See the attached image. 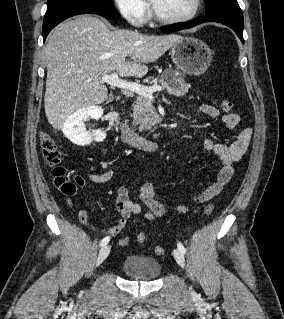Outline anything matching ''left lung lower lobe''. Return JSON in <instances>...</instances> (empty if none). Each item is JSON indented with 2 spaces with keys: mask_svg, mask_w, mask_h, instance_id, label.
<instances>
[{
  "mask_svg": "<svg viewBox=\"0 0 284 319\" xmlns=\"http://www.w3.org/2000/svg\"><path fill=\"white\" fill-rule=\"evenodd\" d=\"M204 22H218L221 24H224L228 27H230L239 37L241 42L244 44L243 39V14H236V13H216L211 15H205L202 17H198L194 19L191 22L178 24V25H172V26H166L161 28V31L163 32H175L187 28H192L198 24L204 23Z\"/></svg>",
  "mask_w": 284,
  "mask_h": 319,
  "instance_id": "obj_1",
  "label": "left lung lower lobe"
}]
</instances>
